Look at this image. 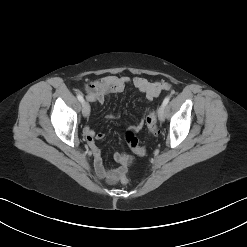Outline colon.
<instances>
[{"label": "colon", "instance_id": "colon-1", "mask_svg": "<svg viewBox=\"0 0 247 247\" xmlns=\"http://www.w3.org/2000/svg\"><path fill=\"white\" fill-rule=\"evenodd\" d=\"M145 123L146 126L148 128V130L154 134L157 130V119H156V114L154 112H150L146 118H145ZM126 141L128 146L130 147V149L137 155L142 156L146 153V148L143 146L139 145L138 139L135 136L134 130L133 129H129L126 132L125 135ZM120 181L123 184L128 183L129 179L126 175V172H123L120 175Z\"/></svg>", "mask_w": 247, "mask_h": 247}]
</instances>
